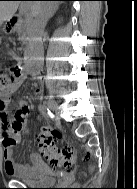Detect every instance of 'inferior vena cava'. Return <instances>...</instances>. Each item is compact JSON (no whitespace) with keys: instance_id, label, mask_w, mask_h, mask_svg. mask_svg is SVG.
<instances>
[{"instance_id":"inferior-vena-cava-1","label":"inferior vena cava","mask_w":137,"mask_h":189,"mask_svg":"<svg viewBox=\"0 0 137 189\" xmlns=\"http://www.w3.org/2000/svg\"><path fill=\"white\" fill-rule=\"evenodd\" d=\"M46 3L48 4L35 15V19L30 28L33 55L35 61H37V65H40V61H42L43 57V45L40 38L43 35L48 18L52 13L53 8L56 6L54 2Z\"/></svg>"}]
</instances>
